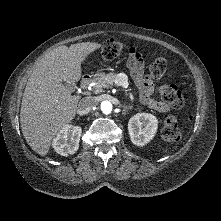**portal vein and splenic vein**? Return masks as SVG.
<instances>
[{
	"mask_svg": "<svg viewBox=\"0 0 221 221\" xmlns=\"http://www.w3.org/2000/svg\"><path fill=\"white\" fill-rule=\"evenodd\" d=\"M116 84L119 86H123L124 88L128 87V82L123 80H116ZM130 99L133 101V95L130 94Z\"/></svg>",
	"mask_w": 221,
	"mask_h": 221,
	"instance_id": "18ae733b",
	"label": "portal vein and splenic vein"
}]
</instances>
